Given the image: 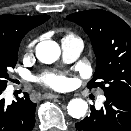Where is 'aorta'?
Returning <instances> with one entry per match:
<instances>
[{
  "mask_svg": "<svg viewBox=\"0 0 131 131\" xmlns=\"http://www.w3.org/2000/svg\"><path fill=\"white\" fill-rule=\"evenodd\" d=\"M37 58L46 64L55 62L60 56V47L55 41H42L36 46ZM88 109V104L81 98L72 99L67 106L69 115L73 118L80 119Z\"/></svg>",
  "mask_w": 131,
  "mask_h": 131,
  "instance_id": "762f6f07",
  "label": "aorta"
}]
</instances>
